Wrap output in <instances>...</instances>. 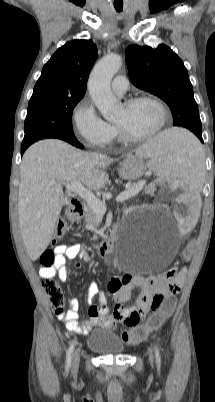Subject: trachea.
<instances>
[{
    "label": "trachea",
    "instance_id": "3493384b",
    "mask_svg": "<svg viewBox=\"0 0 215 402\" xmlns=\"http://www.w3.org/2000/svg\"><path fill=\"white\" fill-rule=\"evenodd\" d=\"M118 12H121V9H117Z\"/></svg>",
    "mask_w": 215,
    "mask_h": 402
}]
</instances>
